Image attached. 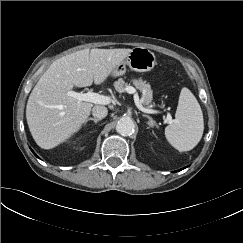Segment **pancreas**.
Instances as JSON below:
<instances>
[{
	"instance_id": "cf45deb5",
	"label": "pancreas",
	"mask_w": 243,
	"mask_h": 243,
	"mask_svg": "<svg viewBox=\"0 0 243 243\" xmlns=\"http://www.w3.org/2000/svg\"><path fill=\"white\" fill-rule=\"evenodd\" d=\"M133 85L140 91L142 92V103L147 106L151 107L152 106V90L150 87V84L147 83L146 81L142 80L141 78L139 79H134L132 80ZM127 83H125V80L123 78H119L117 81L114 82V88L117 92L122 93L125 91V88L127 87Z\"/></svg>"
}]
</instances>
